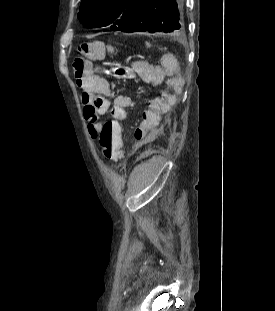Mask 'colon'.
<instances>
[{"label":"colon","mask_w":275,"mask_h":311,"mask_svg":"<svg viewBox=\"0 0 275 311\" xmlns=\"http://www.w3.org/2000/svg\"><path fill=\"white\" fill-rule=\"evenodd\" d=\"M105 51L104 45L100 42L90 41L80 44L78 47V56L73 62L76 76L89 72L90 61L103 57ZM111 73L118 77H125L127 75V72L121 66H114L111 69ZM181 82L183 83V80ZM159 96H161V93ZM119 129L120 124L117 118H108L107 123L100 128L95 136L104 157L109 161H118L122 154V140L117 131Z\"/></svg>","instance_id":"obj_1"}]
</instances>
